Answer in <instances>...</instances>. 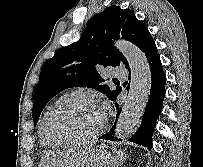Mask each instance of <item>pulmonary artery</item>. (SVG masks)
<instances>
[{"mask_svg":"<svg viewBox=\"0 0 203 167\" xmlns=\"http://www.w3.org/2000/svg\"><path fill=\"white\" fill-rule=\"evenodd\" d=\"M112 74L117 78H126L128 75V72L125 68L122 67H114L112 69Z\"/></svg>","mask_w":203,"mask_h":167,"instance_id":"obj_1","label":"pulmonary artery"}]
</instances>
